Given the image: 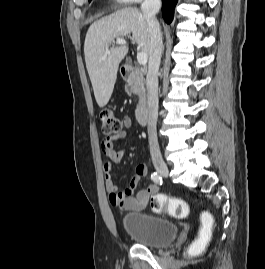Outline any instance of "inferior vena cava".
<instances>
[{
	"label": "inferior vena cava",
	"instance_id": "602c4592",
	"mask_svg": "<svg viewBox=\"0 0 265 269\" xmlns=\"http://www.w3.org/2000/svg\"><path fill=\"white\" fill-rule=\"evenodd\" d=\"M161 8V0H144L141 4V11L146 19L150 32V53L147 72L148 90V141L152 160H162L158 139H157V118H158V71L163 48L160 25L155 17Z\"/></svg>",
	"mask_w": 265,
	"mask_h": 269
}]
</instances>
